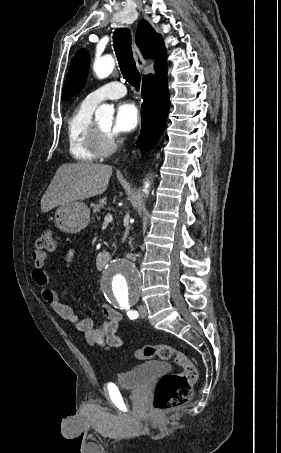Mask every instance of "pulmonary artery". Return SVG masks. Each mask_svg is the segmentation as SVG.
Wrapping results in <instances>:
<instances>
[{
  "instance_id": "e3ab8cb5",
  "label": "pulmonary artery",
  "mask_w": 281,
  "mask_h": 453,
  "mask_svg": "<svg viewBox=\"0 0 281 453\" xmlns=\"http://www.w3.org/2000/svg\"><path fill=\"white\" fill-rule=\"evenodd\" d=\"M125 94L126 89L124 85L121 82L112 81L90 93L86 99L92 103H100L103 100L119 98Z\"/></svg>"
}]
</instances>
